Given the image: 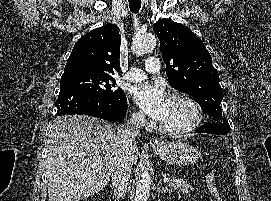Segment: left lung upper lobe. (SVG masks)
Wrapping results in <instances>:
<instances>
[{
    "label": "left lung upper lobe",
    "instance_id": "left-lung-upper-lobe-1",
    "mask_svg": "<svg viewBox=\"0 0 271 201\" xmlns=\"http://www.w3.org/2000/svg\"><path fill=\"white\" fill-rule=\"evenodd\" d=\"M153 29L160 40L169 84L192 96L205 113L219 119L223 91L203 41L185 25L168 19H159ZM212 124L222 128V134L230 132L224 118Z\"/></svg>",
    "mask_w": 271,
    "mask_h": 201
}]
</instances>
